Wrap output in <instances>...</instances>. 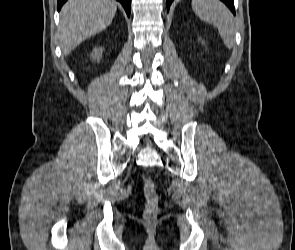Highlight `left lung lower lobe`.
<instances>
[{
	"instance_id": "left-lung-lower-lobe-1",
	"label": "left lung lower lobe",
	"mask_w": 295,
	"mask_h": 250,
	"mask_svg": "<svg viewBox=\"0 0 295 250\" xmlns=\"http://www.w3.org/2000/svg\"><path fill=\"white\" fill-rule=\"evenodd\" d=\"M221 1L224 2L230 8V10L233 12V14H235L233 0H221ZM172 2H173V0H167V10H169V7Z\"/></svg>"
}]
</instances>
